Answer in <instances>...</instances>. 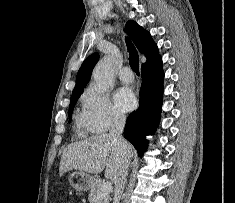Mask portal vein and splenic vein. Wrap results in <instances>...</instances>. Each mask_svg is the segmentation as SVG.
<instances>
[{
  "label": "portal vein and splenic vein",
  "instance_id": "18ae733b",
  "mask_svg": "<svg viewBox=\"0 0 235 203\" xmlns=\"http://www.w3.org/2000/svg\"><path fill=\"white\" fill-rule=\"evenodd\" d=\"M112 183L111 182H105L101 189L98 191V196H105L107 194H109L112 191Z\"/></svg>",
  "mask_w": 235,
  "mask_h": 203
}]
</instances>
